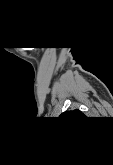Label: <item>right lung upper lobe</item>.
<instances>
[{"mask_svg":"<svg viewBox=\"0 0 113 165\" xmlns=\"http://www.w3.org/2000/svg\"><path fill=\"white\" fill-rule=\"evenodd\" d=\"M62 118H83L84 114L80 110L66 111L60 115Z\"/></svg>","mask_w":113,"mask_h":165,"instance_id":"right-lung-upper-lobe-1","label":"right lung upper lobe"}]
</instances>
